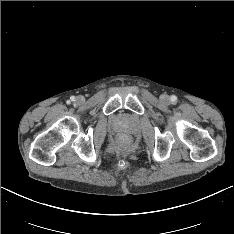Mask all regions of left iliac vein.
Instances as JSON below:
<instances>
[{
    "label": "left iliac vein",
    "mask_w": 234,
    "mask_h": 234,
    "mask_svg": "<svg viewBox=\"0 0 234 234\" xmlns=\"http://www.w3.org/2000/svg\"><path fill=\"white\" fill-rule=\"evenodd\" d=\"M160 100H161L163 103L167 104V103H169V100H170V99H169V96H168V95L163 94V95H161Z\"/></svg>",
    "instance_id": "1"
}]
</instances>
